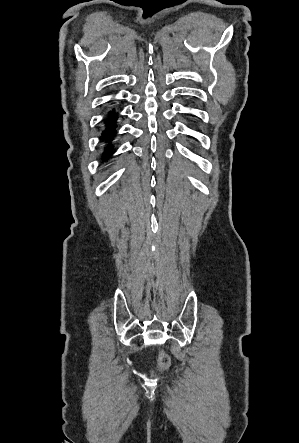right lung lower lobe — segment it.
Listing matches in <instances>:
<instances>
[{
    "instance_id": "obj_1",
    "label": "right lung lower lobe",
    "mask_w": 299,
    "mask_h": 443,
    "mask_svg": "<svg viewBox=\"0 0 299 443\" xmlns=\"http://www.w3.org/2000/svg\"><path fill=\"white\" fill-rule=\"evenodd\" d=\"M116 117L117 114L116 112L113 110L110 112L109 117L106 119V129L104 130L102 136H103V141L105 143L107 142H111L114 135H115V121H116ZM104 157L108 158L110 156V154L112 153V149L109 145H106V147L104 148Z\"/></svg>"
}]
</instances>
